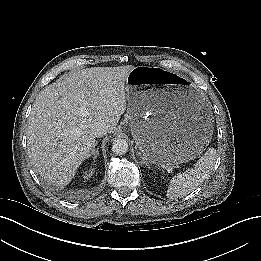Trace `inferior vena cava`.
I'll return each instance as SVG.
<instances>
[{"instance_id":"1","label":"inferior vena cava","mask_w":261,"mask_h":261,"mask_svg":"<svg viewBox=\"0 0 261 261\" xmlns=\"http://www.w3.org/2000/svg\"><path fill=\"white\" fill-rule=\"evenodd\" d=\"M92 131L96 137L104 136L107 134V126L105 124H96L93 126Z\"/></svg>"}]
</instances>
